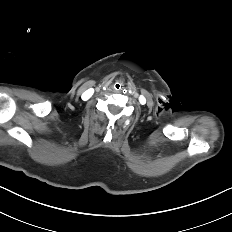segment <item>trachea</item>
Instances as JSON below:
<instances>
[{
    "label": "trachea",
    "mask_w": 232,
    "mask_h": 232,
    "mask_svg": "<svg viewBox=\"0 0 232 232\" xmlns=\"http://www.w3.org/2000/svg\"><path fill=\"white\" fill-rule=\"evenodd\" d=\"M123 84L121 83V82H115L114 84H113V88H114V90H116V91H121L122 89H123Z\"/></svg>",
    "instance_id": "1"
}]
</instances>
